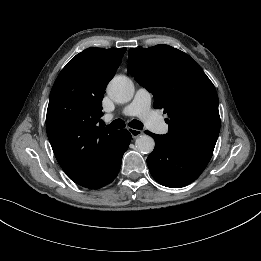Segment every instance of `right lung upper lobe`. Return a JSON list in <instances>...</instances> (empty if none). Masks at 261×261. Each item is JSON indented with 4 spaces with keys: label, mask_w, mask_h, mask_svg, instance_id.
<instances>
[{
    "label": "right lung upper lobe",
    "mask_w": 261,
    "mask_h": 261,
    "mask_svg": "<svg viewBox=\"0 0 261 261\" xmlns=\"http://www.w3.org/2000/svg\"><path fill=\"white\" fill-rule=\"evenodd\" d=\"M126 48H88L62 69L50 93L47 135L56 159L75 183L93 174L121 130L98 125L107 84Z\"/></svg>",
    "instance_id": "1"
}]
</instances>
